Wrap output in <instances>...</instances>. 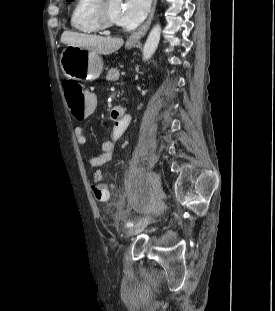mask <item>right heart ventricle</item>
Instances as JSON below:
<instances>
[{"instance_id": "1", "label": "right heart ventricle", "mask_w": 275, "mask_h": 311, "mask_svg": "<svg viewBox=\"0 0 275 311\" xmlns=\"http://www.w3.org/2000/svg\"><path fill=\"white\" fill-rule=\"evenodd\" d=\"M98 0H75L71 15V27L84 34H99L102 32L94 18V8Z\"/></svg>"}]
</instances>
